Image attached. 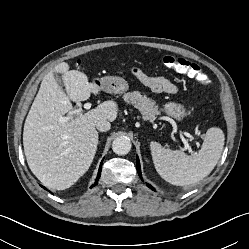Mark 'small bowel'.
I'll use <instances>...</instances> for the list:
<instances>
[{
  "mask_svg": "<svg viewBox=\"0 0 249 249\" xmlns=\"http://www.w3.org/2000/svg\"><path fill=\"white\" fill-rule=\"evenodd\" d=\"M133 72L144 86L155 93L174 95L178 92L177 87L165 77L149 75L138 68H135Z\"/></svg>",
  "mask_w": 249,
  "mask_h": 249,
  "instance_id": "small-bowel-1",
  "label": "small bowel"
}]
</instances>
